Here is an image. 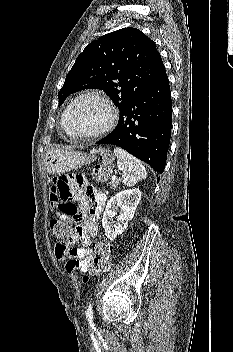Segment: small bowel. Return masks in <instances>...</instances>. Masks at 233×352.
<instances>
[{
    "instance_id": "1",
    "label": "small bowel",
    "mask_w": 233,
    "mask_h": 352,
    "mask_svg": "<svg viewBox=\"0 0 233 352\" xmlns=\"http://www.w3.org/2000/svg\"><path fill=\"white\" fill-rule=\"evenodd\" d=\"M76 201L78 208L72 214L62 210L63 206ZM106 195L95 189L82 175L69 174L54 178L50 191V204L59 219L74 223L66 246L58 241L55 255L66 261V270L73 273L85 270L93 259L91 238L98 232V219L104 209ZM80 242L82 247H76Z\"/></svg>"
}]
</instances>
